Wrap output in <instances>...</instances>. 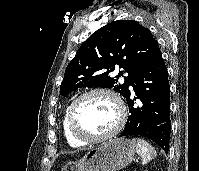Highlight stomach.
Here are the masks:
<instances>
[{"mask_svg": "<svg viewBox=\"0 0 199 171\" xmlns=\"http://www.w3.org/2000/svg\"><path fill=\"white\" fill-rule=\"evenodd\" d=\"M135 152L134 143L127 138L109 140L80 160L67 162L61 171H118L132 162Z\"/></svg>", "mask_w": 199, "mask_h": 171, "instance_id": "0dacf381", "label": "stomach"}]
</instances>
